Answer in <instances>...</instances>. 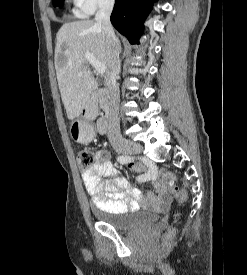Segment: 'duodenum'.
Listing matches in <instances>:
<instances>
[{
    "instance_id": "1",
    "label": "duodenum",
    "mask_w": 247,
    "mask_h": 275,
    "mask_svg": "<svg viewBox=\"0 0 247 275\" xmlns=\"http://www.w3.org/2000/svg\"><path fill=\"white\" fill-rule=\"evenodd\" d=\"M108 91L107 90H99L93 93L89 99L86 100L84 105V111L89 112L94 110L101 102L107 99ZM110 106L105 104L104 114L98 118L97 120V128L100 133L106 131L110 123Z\"/></svg>"
}]
</instances>
